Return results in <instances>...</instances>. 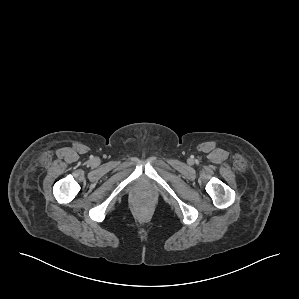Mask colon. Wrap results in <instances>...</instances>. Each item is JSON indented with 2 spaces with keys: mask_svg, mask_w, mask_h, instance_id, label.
<instances>
[{
  "mask_svg": "<svg viewBox=\"0 0 299 299\" xmlns=\"http://www.w3.org/2000/svg\"><path fill=\"white\" fill-rule=\"evenodd\" d=\"M148 208V205L146 204V203H142L141 205H140V209L141 210H146Z\"/></svg>",
  "mask_w": 299,
  "mask_h": 299,
  "instance_id": "colon-1",
  "label": "colon"
}]
</instances>
